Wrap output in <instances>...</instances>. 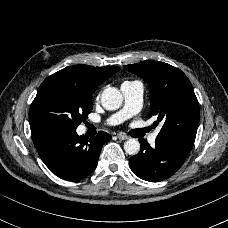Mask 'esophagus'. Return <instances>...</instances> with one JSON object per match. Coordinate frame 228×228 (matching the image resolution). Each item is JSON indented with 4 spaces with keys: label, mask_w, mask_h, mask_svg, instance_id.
I'll return each mask as SVG.
<instances>
[{
    "label": "esophagus",
    "mask_w": 228,
    "mask_h": 228,
    "mask_svg": "<svg viewBox=\"0 0 228 228\" xmlns=\"http://www.w3.org/2000/svg\"><path fill=\"white\" fill-rule=\"evenodd\" d=\"M117 137L119 140H123V141L128 139V136L121 132L117 134Z\"/></svg>",
    "instance_id": "34e87169"
}]
</instances>
